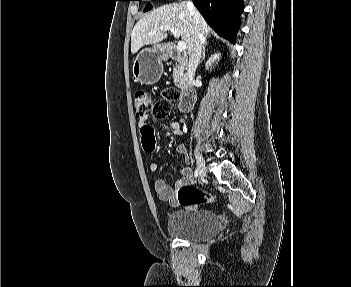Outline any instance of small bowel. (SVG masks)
<instances>
[{
  "instance_id": "obj_1",
  "label": "small bowel",
  "mask_w": 351,
  "mask_h": 287,
  "mask_svg": "<svg viewBox=\"0 0 351 287\" xmlns=\"http://www.w3.org/2000/svg\"><path fill=\"white\" fill-rule=\"evenodd\" d=\"M147 122V115L141 116L138 120L141 144L143 148L142 156H156L158 142H156L155 127H153V124H148ZM183 132L184 130L182 126L178 122H173L169 125V130L165 134V137L170 135L180 136L183 134ZM176 152L186 163V165L180 170L182 177L176 181V189H179L181 186L193 182V173L191 167L189 166L187 150L183 143L176 145ZM148 169L150 172L155 173L157 171V164L154 162L149 163ZM154 189L161 200L167 201L173 206H177L179 204L176 196V190L170 187L164 180L156 179L154 181Z\"/></svg>"
}]
</instances>
